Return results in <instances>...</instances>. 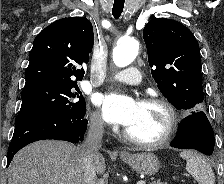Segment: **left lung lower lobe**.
<instances>
[{
    "label": "left lung lower lobe",
    "mask_w": 224,
    "mask_h": 184,
    "mask_svg": "<svg viewBox=\"0 0 224 184\" xmlns=\"http://www.w3.org/2000/svg\"><path fill=\"white\" fill-rule=\"evenodd\" d=\"M180 149H195L211 155L214 150V133L203 111H196L179 124L178 135L170 144Z\"/></svg>",
    "instance_id": "obj_1"
}]
</instances>
